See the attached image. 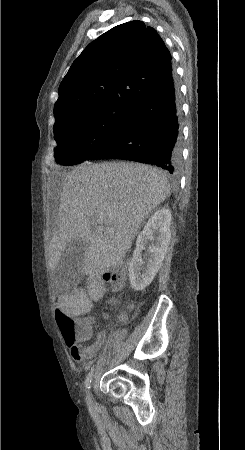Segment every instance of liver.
Returning a JSON list of instances; mask_svg holds the SVG:
<instances>
[{
  "mask_svg": "<svg viewBox=\"0 0 245 450\" xmlns=\"http://www.w3.org/2000/svg\"><path fill=\"white\" fill-rule=\"evenodd\" d=\"M170 195L167 178L157 168L132 162L83 164L64 176L58 229L49 244L50 269L56 270L74 239L89 243L83 270L88 295L74 287L59 298V309L76 316L89 311L103 295L101 275L122 264L141 224ZM94 225L115 229L113 235Z\"/></svg>",
  "mask_w": 245,
  "mask_h": 450,
  "instance_id": "1",
  "label": "liver"
}]
</instances>
